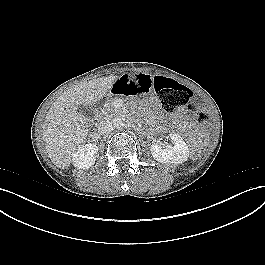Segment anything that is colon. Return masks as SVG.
I'll return each mask as SVG.
<instances>
[{
    "label": "colon",
    "mask_w": 265,
    "mask_h": 265,
    "mask_svg": "<svg viewBox=\"0 0 265 265\" xmlns=\"http://www.w3.org/2000/svg\"><path fill=\"white\" fill-rule=\"evenodd\" d=\"M153 85L166 111L171 112L180 106L188 105L192 99L191 91L173 79L157 76ZM195 120L202 128L208 129L211 126L209 111L204 107L196 110Z\"/></svg>",
    "instance_id": "1"
}]
</instances>
